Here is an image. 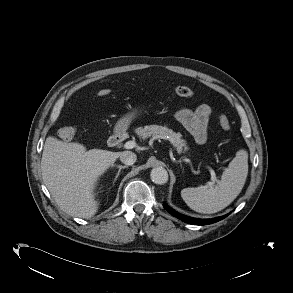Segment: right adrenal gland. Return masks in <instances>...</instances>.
<instances>
[{
    "label": "right adrenal gland",
    "instance_id": "1",
    "mask_svg": "<svg viewBox=\"0 0 293 293\" xmlns=\"http://www.w3.org/2000/svg\"><path fill=\"white\" fill-rule=\"evenodd\" d=\"M116 167L118 168V172H117V174H116V176H115V178H114L113 183L117 180V178H118V176H119L121 170H122V169H125V168H128V166H122V165H116Z\"/></svg>",
    "mask_w": 293,
    "mask_h": 293
}]
</instances>
